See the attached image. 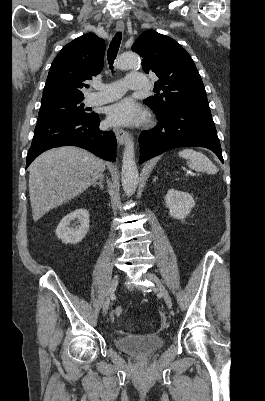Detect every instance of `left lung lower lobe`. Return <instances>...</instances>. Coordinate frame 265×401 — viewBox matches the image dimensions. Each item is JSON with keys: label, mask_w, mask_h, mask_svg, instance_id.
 Wrapping results in <instances>:
<instances>
[{"label": "left lung lower lobe", "mask_w": 265, "mask_h": 401, "mask_svg": "<svg viewBox=\"0 0 265 401\" xmlns=\"http://www.w3.org/2000/svg\"><path fill=\"white\" fill-rule=\"evenodd\" d=\"M159 124L141 133L140 163L177 147H205L223 162L220 141L209 106L189 105L156 113Z\"/></svg>", "instance_id": "1"}]
</instances>
